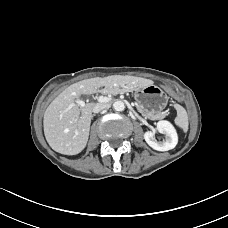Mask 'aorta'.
I'll use <instances>...</instances> for the list:
<instances>
[{"label": "aorta", "instance_id": "1", "mask_svg": "<svg viewBox=\"0 0 228 228\" xmlns=\"http://www.w3.org/2000/svg\"><path fill=\"white\" fill-rule=\"evenodd\" d=\"M113 108L116 111H123L125 109V105L122 101H116L113 103Z\"/></svg>", "mask_w": 228, "mask_h": 228}]
</instances>
